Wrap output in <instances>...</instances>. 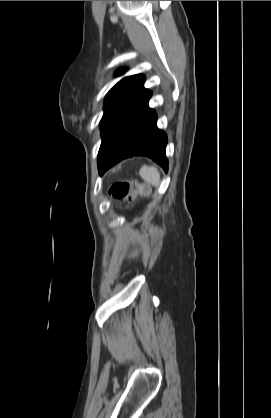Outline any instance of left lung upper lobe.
Here are the masks:
<instances>
[{
	"label": "left lung upper lobe",
	"instance_id": "5c2ea615",
	"mask_svg": "<svg viewBox=\"0 0 271 418\" xmlns=\"http://www.w3.org/2000/svg\"><path fill=\"white\" fill-rule=\"evenodd\" d=\"M124 72L125 69H119L116 75ZM144 81L143 75L125 77L107 93L104 101V114L100 121L102 143L112 130L149 94L150 91L143 87Z\"/></svg>",
	"mask_w": 271,
	"mask_h": 418
}]
</instances>
